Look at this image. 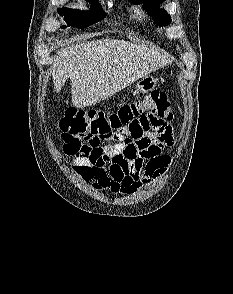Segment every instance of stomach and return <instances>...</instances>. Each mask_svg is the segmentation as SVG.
<instances>
[{
    "instance_id": "1",
    "label": "stomach",
    "mask_w": 233,
    "mask_h": 294,
    "mask_svg": "<svg viewBox=\"0 0 233 294\" xmlns=\"http://www.w3.org/2000/svg\"><path fill=\"white\" fill-rule=\"evenodd\" d=\"M157 85V79L151 75H146L135 82L136 91H140L142 93H148L155 89Z\"/></svg>"
}]
</instances>
